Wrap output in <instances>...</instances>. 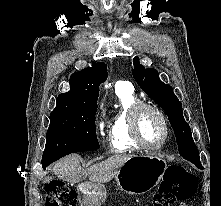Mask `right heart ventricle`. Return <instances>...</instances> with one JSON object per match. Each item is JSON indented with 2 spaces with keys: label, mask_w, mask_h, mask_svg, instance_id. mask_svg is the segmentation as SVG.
Listing matches in <instances>:
<instances>
[{
  "label": "right heart ventricle",
  "mask_w": 221,
  "mask_h": 206,
  "mask_svg": "<svg viewBox=\"0 0 221 206\" xmlns=\"http://www.w3.org/2000/svg\"><path fill=\"white\" fill-rule=\"evenodd\" d=\"M115 93L120 110L107 123L110 148L116 153L138 150L129 127L130 109L138 102L137 97L132 90L115 88Z\"/></svg>",
  "instance_id": "1"
}]
</instances>
